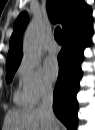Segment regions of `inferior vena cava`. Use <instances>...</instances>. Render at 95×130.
<instances>
[{
	"mask_svg": "<svg viewBox=\"0 0 95 130\" xmlns=\"http://www.w3.org/2000/svg\"><path fill=\"white\" fill-rule=\"evenodd\" d=\"M53 88L52 86H46L43 96L42 103L39 106V110L46 116L49 121H55V115L53 113Z\"/></svg>",
	"mask_w": 95,
	"mask_h": 130,
	"instance_id": "602c4592",
	"label": "inferior vena cava"
}]
</instances>
